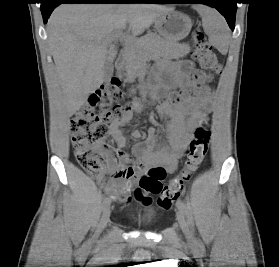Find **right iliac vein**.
Masks as SVG:
<instances>
[{"label": "right iliac vein", "instance_id": "obj_1", "mask_svg": "<svg viewBox=\"0 0 279 267\" xmlns=\"http://www.w3.org/2000/svg\"><path fill=\"white\" fill-rule=\"evenodd\" d=\"M110 214H111V210L110 207L108 206L107 208H105L102 217L100 219V222L96 228L95 234H94V239H97L99 237V235L101 234V232L103 231V229L105 228L107 222L109 221L110 218Z\"/></svg>", "mask_w": 279, "mask_h": 267}]
</instances>
